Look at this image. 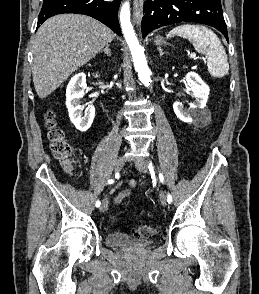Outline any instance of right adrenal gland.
Returning <instances> with one entry per match:
<instances>
[{
  "instance_id": "1",
  "label": "right adrenal gland",
  "mask_w": 259,
  "mask_h": 294,
  "mask_svg": "<svg viewBox=\"0 0 259 294\" xmlns=\"http://www.w3.org/2000/svg\"><path fill=\"white\" fill-rule=\"evenodd\" d=\"M99 53H105L107 56H111V51L109 49V44L105 46V48Z\"/></svg>"
}]
</instances>
